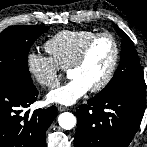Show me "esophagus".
<instances>
[{
	"label": "esophagus",
	"mask_w": 147,
	"mask_h": 147,
	"mask_svg": "<svg viewBox=\"0 0 147 147\" xmlns=\"http://www.w3.org/2000/svg\"><path fill=\"white\" fill-rule=\"evenodd\" d=\"M57 109H58L59 112H63V111L68 110L67 107H64V106H61V105H58V106H57Z\"/></svg>",
	"instance_id": "obj_1"
}]
</instances>
